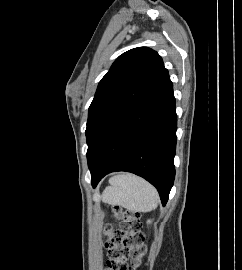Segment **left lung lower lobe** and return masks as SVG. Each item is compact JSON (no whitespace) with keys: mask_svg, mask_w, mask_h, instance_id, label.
I'll return each instance as SVG.
<instances>
[{"mask_svg":"<svg viewBox=\"0 0 242 270\" xmlns=\"http://www.w3.org/2000/svg\"><path fill=\"white\" fill-rule=\"evenodd\" d=\"M177 115L167 75L109 132L89 166L96 187L106 174L127 171L154 185L163 206L174 182Z\"/></svg>","mask_w":242,"mask_h":270,"instance_id":"1","label":"left lung lower lobe"}]
</instances>
